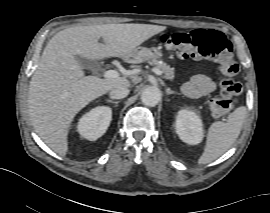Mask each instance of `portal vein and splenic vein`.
Listing matches in <instances>:
<instances>
[{
	"label": "portal vein and splenic vein",
	"mask_w": 270,
	"mask_h": 213,
	"mask_svg": "<svg viewBox=\"0 0 270 213\" xmlns=\"http://www.w3.org/2000/svg\"><path fill=\"white\" fill-rule=\"evenodd\" d=\"M152 71L159 76L162 75V71L157 68H153ZM104 77L107 79L117 78L119 77V73L116 70H108L104 72Z\"/></svg>",
	"instance_id": "obj_1"
}]
</instances>
